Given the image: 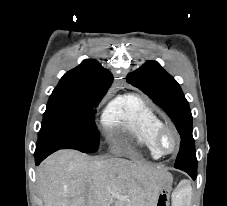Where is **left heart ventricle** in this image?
<instances>
[{
	"mask_svg": "<svg viewBox=\"0 0 227 206\" xmlns=\"http://www.w3.org/2000/svg\"><path fill=\"white\" fill-rule=\"evenodd\" d=\"M163 146L167 150H172L174 147V138L171 134H167L163 139Z\"/></svg>",
	"mask_w": 227,
	"mask_h": 206,
	"instance_id": "1",
	"label": "left heart ventricle"
}]
</instances>
